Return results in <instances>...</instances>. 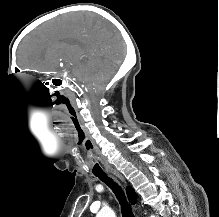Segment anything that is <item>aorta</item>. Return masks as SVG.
<instances>
[{
    "label": "aorta",
    "instance_id": "762f6f07",
    "mask_svg": "<svg viewBox=\"0 0 219 217\" xmlns=\"http://www.w3.org/2000/svg\"><path fill=\"white\" fill-rule=\"evenodd\" d=\"M96 217H116L115 213L113 210H111L110 208H102ZM154 217V216H151Z\"/></svg>",
    "mask_w": 219,
    "mask_h": 217
}]
</instances>
